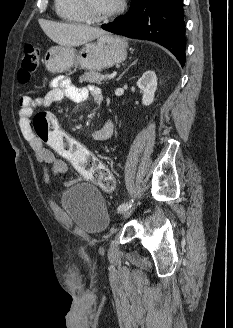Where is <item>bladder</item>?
I'll return each mask as SVG.
<instances>
[{
  "mask_svg": "<svg viewBox=\"0 0 233 328\" xmlns=\"http://www.w3.org/2000/svg\"><path fill=\"white\" fill-rule=\"evenodd\" d=\"M60 203L68 217L89 234L99 233L109 224L104 197L89 184L72 186L61 195Z\"/></svg>",
  "mask_w": 233,
  "mask_h": 328,
  "instance_id": "obj_1",
  "label": "bladder"
}]
</instances>
